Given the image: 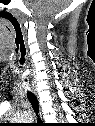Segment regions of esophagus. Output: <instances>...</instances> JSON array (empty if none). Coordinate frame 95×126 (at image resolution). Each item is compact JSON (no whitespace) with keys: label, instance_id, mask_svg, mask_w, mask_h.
I'll return each mask as SVG.
<instances>
[{"label":"esophagus","instance_id":"1","mask_svg":"<svg viewBox=\"0 0 95 126\" xmlns=\"http://www.w3.org/2000/svg\"><path fill=\"white\" fill-rule=\"evenodd\" d=\"M34 93L37 95L36 90H34ZM40 116H41V118H42V111H41V110H40Z\"/></svg>","mask_w":95,"mask_h":126}]
</instances>
